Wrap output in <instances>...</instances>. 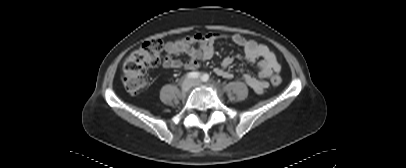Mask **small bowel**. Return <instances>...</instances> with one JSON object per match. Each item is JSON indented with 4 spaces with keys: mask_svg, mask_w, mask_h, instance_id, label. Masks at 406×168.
Wrapping results in <instances>:
<instances>
[{
    "mask_svg": "<svg viewBox=\"0 0 406 168\" xmlns=\"http://www.w3.org/2000/svg\"><path fill=\"white\" fill-rule=\"evenodd\" d=\"M230 39L234 44L244 50L246 61L257 62L259 69L258 76L254 77L244 73L242 80L256 93L262 94L268 87V79L274 73L281 70L274 52L266 45L254 40L246 39L240 34L224 35L220 33H210L206 35L196 34L187 36L179 40L169 41L165 44V56L162 65L168 69L186 68L195 69L199 66L200 60H208L215 52V42L219 39ZM185 55L186 60L181 61L176 56ZM233 56H226L221 65L215 69V73L223 78L229 79L232 73L228 70L233 63Z\"/></svg>",
    "mask_w": 406,
    "mask_h": 168,
    "instance_id": "obj_1",
    "label": "small bowel"
}]
</instances>
